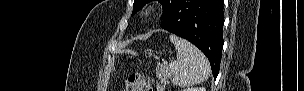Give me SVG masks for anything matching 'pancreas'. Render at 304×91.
<instances>
[{"label":"pancreas","instance_id":"1","mask_svg":"<svg viewBox=\"0 0 304 91\" xmlns=\"http://www.w3.org/2000/svg\"><path fill=\"white\" fill-rule=\"evenodd\" d=\"M173 74L172 69L168 68L164 64H158L156 69L157 78L165 85L168 83V78Z\"/></svg>","mask_w":304,"mask_h":91}]
</instances>
